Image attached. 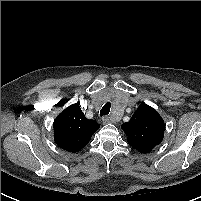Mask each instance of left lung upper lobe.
Returning a JSON list of instances; mask_svg holds the SVG:
<instances>
[{
    "instance_id": "5c2ea615",
    "label": "left lung upper lobe",
    "mask_w": 201,
    "mask_h": 201,
    "mask_svg": "<svg viewBox=\"0 0 201 201\" xmlns=\"http://www.w3.org/2000/svg\"><path fill=\"white\" fill-rule=\"evenodd\" d=\"M122 129L128 135L130 146L140 153H148L161 143L165 125L155 109L142 103Z\"/></svg>"
}]
</instances>
